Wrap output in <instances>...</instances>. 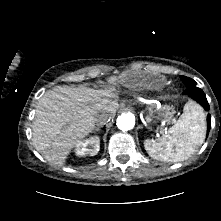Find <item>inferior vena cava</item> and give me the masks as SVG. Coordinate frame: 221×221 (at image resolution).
<instances>
[{
    "mask_svg": "<svg viewBox=\"0 0 221 221\" xmlns=\"http://www.w3.org/2000/svg\"><path fill=\"white\" fill-rule=\"evenodd\" d=\"M111 119V117L108 114H100L97 118H96V125L97 126H103L105 125L107 122H109Z\"/></svg>",
    "mask_w": 221,
    "mask_h": 221,
    "instance_id": "inferior-vena-cava-1",
    "label": "inferior vena cava"
}]
</instances>
